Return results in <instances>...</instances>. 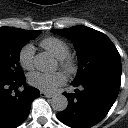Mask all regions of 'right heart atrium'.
I'll return each mask as SVG.
<instances>
[{
	"mask_svg": "<svg viewBox=\"0 0 128 128\" xmlns=\"http://www.w3.org/2000/svg\"><path fill=\"white\" fill-rule=\"evenodd\" d=\"M35 48L32 44H26L22 47L19 53V63L26 69L31 70L34 67Z\"/></svg>",
	"mask_w": 128,
	"mask_h": 128,
	"instance_id": "right-heart-atrium-1",
	"label": "right heart atrium"
}]
</instances>
